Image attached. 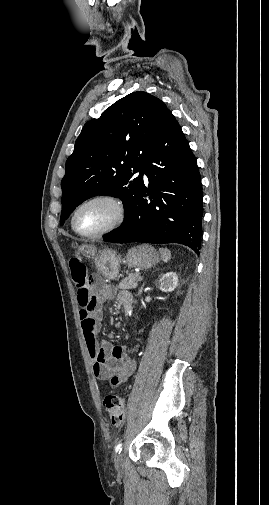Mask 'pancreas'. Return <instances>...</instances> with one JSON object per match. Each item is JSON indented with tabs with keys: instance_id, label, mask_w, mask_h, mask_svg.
I'll list each match as a JSON object with an SVG mask.
<instances>
[{
	"instance_id": "1",
	"label": "pancreas",
	"mask_w": 269,
	"mask_h": 505,
	"mask_svg": "<svg viewBox=\"0 0 269 505\" xmlns=\"http://www.w3.org/2000/svg\"><path fill=\"white\" fill-rule=\"evenodd\" d=\"M139 273H131L125 277L118 285L119 289H135L138 286Z\"/></svg>"
}]
</instances>
